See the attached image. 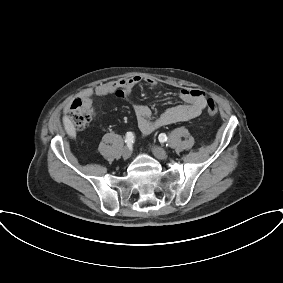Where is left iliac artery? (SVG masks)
Segmentation results:
<instances>
[{"label":"left iliac artery","mask_w":283,"mask_h":283,"mask_svg":"<svg viewBox=\"0 0 283 283\" xmlns=\"http://www.w3.org/2000/svg\"><path fill=\"white\" fill-rule=\"evenodd\" d=\"M158 139H159V141H160L161 143H164V142L167 141L168 138H167V136H166L165 133H161V134L159 135Z\"/></svg>","instance_id":"44dca946"}]
</instances>
